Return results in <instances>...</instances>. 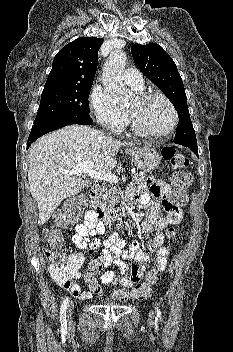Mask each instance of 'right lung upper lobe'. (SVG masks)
I'll list each match as a JSON object with an SVG mask.
<instances>
[{
    "mask_svg": "<svg viewBox=\"0 0 233 352\" xmlns=\"http://www.w3.org/2000/svg\"><path fill=\"white\" fill-rule=\"evenodd\" d=\"M103 39L81 37L64 46L53 60L47 87L92 85Z\"/></svg>",
    "mask_w": 233,
    "mask_h": 352,
    "instance_id": "1",
    "label": "right lung upper lobe"
}]
</instances>
